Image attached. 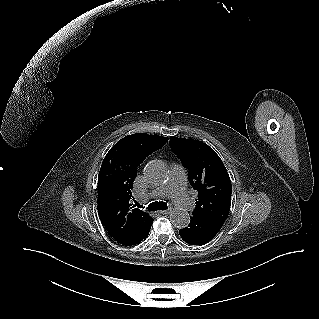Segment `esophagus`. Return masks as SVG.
Returning a JSON list of instances; mask_svg holds the SVG:
<instances>
[{
    "label": "esophagus",
    "instance_id": "34e87169",
    "mask_svg": "<svg viewBox=\"0 0 319 319\" xmlns=\"http://www.w3.org/2000/svg\"><path fill=\"white\" fill-rule=\"evenodd\" d=\"M159 213L162 215H166V214H169L170 211L169 210H162V211H159Z\"/></svg>",
    "mask_w": 319,
    "mask_h": 319
}]
</instances>
